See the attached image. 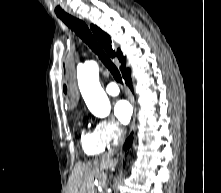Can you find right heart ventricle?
Here are the masks:
<instances>
[{
	"label": "right heart ventricle",
	"instance_id": "obj_1",
	"mask_svg": "<svg viewBox=\"0 0 221 193\" xmlns=\"http://www.w3.org/2000/svg\"><path fill=\"white\" fill-rule=\"evenodd\" d=\"M81 145L84 152L90 156L103 153L108 146L101 142L94 132L83 131L81 135Z\"/></svg>",
	"mask_w": 221,
	"mask_h": 193
}]
</instances>
